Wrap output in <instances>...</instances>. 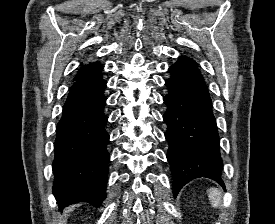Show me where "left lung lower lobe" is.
Returning a JSON list of instances; mask_svg holds the SVG:
<instances>
[{"instance_id": "1", "label": "left lung lower lobe", "mask_w": 275, "mask_h": 224, "mask_svg": "<svg viewBox=\"0 0 275 224\" xmlns=\"http://www.w3.org/2000/svg\"><path fill=\"white\" fill-rule=\"evenodd\" d=\"M171 77L165 81L168 94L163 98L167 111L165 138L169 143L167 160L173 174L176 196L189 181L206 177L218 182L223 161L212 102L197 67L169 68Z\"/></svg>"}]
</instances>
